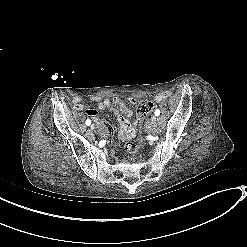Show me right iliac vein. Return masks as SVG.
I'll use <instances>...</instances> for the list:
<instances>
[{
  "instance_id": "obj_1",
  "label": "right iliac vein",
  "mask_w": 247,
  "mask_h": 247,
  "mask_svg": "<svg viewBox=\"0 0 247 247\" xmlns=\"http://www.w3.org/2000/svg\"><path fill=\"white\" fill-rule=\"evenodd\" d=\"M91 129H92V130L95 129V125H94V124L91 125Z\"/></svg>"
}]
</instances>
